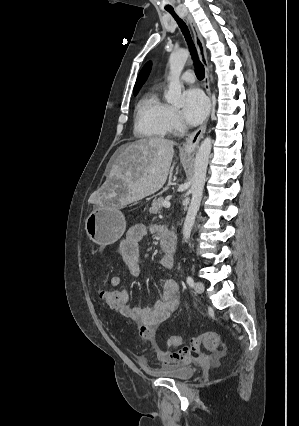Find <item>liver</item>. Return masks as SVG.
Masks as SVG:
<instances>
[{
	"instance_id": "1",
	"label": "liver",
	"mask_w": 299,
	"mask_h": 426,
	"mask_svg": "<svg viewBox=\"0 0 299 426\" xmlns=\"http://www.w3.org/2000/svg\"><path fill=\"white\" fill-rule=\"evenodd\" d=\"M173 157L174 142L160 137L122 145L116 152L106 185L111 192L107 198L117 197L115 190L120 184L123 194L117 200L122 205L154 194L166 182Z\"/></svg>"
}]
</instances>
